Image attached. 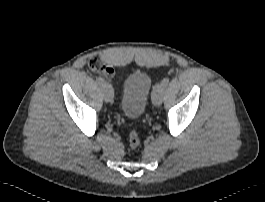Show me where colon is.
<instances>
[{
  "label": "colon",
  "instance_id": "colon-1",
  "mask_svg": "<svg viewBox=\"0 0 265 202\" xmlns=\"http://www.w3.org/2000/svg\"><path fill=\"white\" fill-rule=\"evenodd\" d=\"M129 144L132 149H137L140 145V138L135 131L129 134Z\"/></svg>",
  "mask_w": 265,
  "mask_h": 202
}]
</instances>
